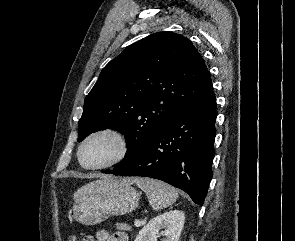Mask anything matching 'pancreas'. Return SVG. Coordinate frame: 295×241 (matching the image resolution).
Listing matches in <instances>:
<instances>
[{"label": "pancreas", "instance_id": "1", "mask_svg": "<svg viewBox=\"0 0 295 241\" xmlns=\"http://www.w3.org/2000/svg\"><path fill=\"white\" fill-rule=\"evenodd\" d=\"M116 228L118 230H124V231H130L131 230V226H129L126 223H116Z\"/></svg>", "mask_w": 295, "mask_h": 241}]
</instances>
